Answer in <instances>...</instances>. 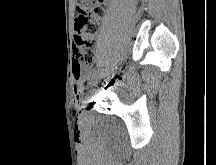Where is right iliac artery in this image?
<instances>
[{"instance_id": "right-iliac-artery-1", "label": "right iliac artery", "mask_w": 216, "mask_h": 165, "mask_svg": "<svg viewBox=\"0 0 216 165\" xmlns=\"http://www.w3.org/2000/svg\"><path fill=\"white\" fill-rule=\"evenodd\" d=\"M94 75H95V71H93V72L90 74V77L92 78Z\"/></svg>"}]
</instances>
